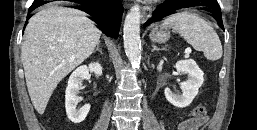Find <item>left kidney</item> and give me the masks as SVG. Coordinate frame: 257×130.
<instances>
[{"mask_svg": "<svg viewBox=\"0 0 257 130\" xmlns=\"http://www.w3.org/2000/svg\"><path fill=\"white\" fill-rule=\"evenodd\" d=\"M179 72L187 74L188 79L181 84L182 95L174 94L169 88L164 91L166 99L178 108H184L191 104L202 86L204 78L203 71L192 59L181 60L176 63Z\"/></svg>", "mask_w": 257, "mask_h": 130, "instance_id": "1", "label": "left kidney"}]
</instances>
